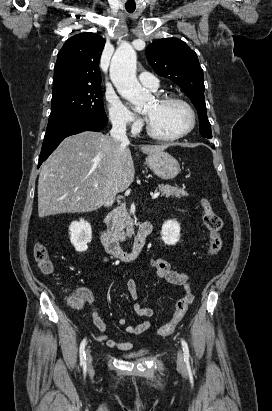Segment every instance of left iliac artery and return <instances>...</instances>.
<instances>
[{"label": "left iliac artery", "mask_w": 272, "mask_h": 411, "mask_svg": "<svg viewBox=\"0 0 272 411\" xmlns=\"http://www.w3.org/2000/svg\"><path fill=\"white\" fill-rule=\"evenodd\" d=\"M181 344H182V349H183V357L184 361L188 362L190 353H189V348L185 340L181 339Z\"/></svg>", "instance_id": "44dca946"}]
</instances>
